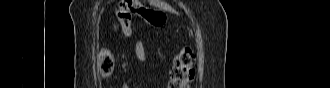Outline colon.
<instances>
[{"label":"colon","mask_w":330,"mask_h":88,"mask_svg":"<svg viewBox=\"0 0 330 88\" xmlns=\"http://www.w3.org/2000/svg\"><path fill=\"white\" fill-rule=\"evenodd\" d=\"M122 31L126 36L131 34V20L133 17L143 19L150 26H160L164 16L157 11L148 9L137 0L122 1L116 11ZM99 71L102 77L109 78L115 70L114 55L109 49H102L99 53ZM194 53L189 46L183 47L175 56L170 72V88H188L195 76Z\"/></svg>","instance_id":"obj_1"}]
</instances>
